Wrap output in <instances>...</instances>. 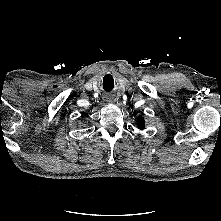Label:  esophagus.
I'll use <instances>...</instances> for the list:
<instances>
[{"label": "esophagus", "mask_w": 221, "mask_h": 221, "mask_svg": "<svg viewBox=\"0 0 221 221\" xmlns=\"http://www.w3.org/2000/svg\"><path fill=\"white\" fill-rule=\"evenodd\" d=\"M111 98H112V97H111L110 94H107V95H106V99L110 100Z\"/></svg>", "instance_id": "34e87169"}]
</instances>
